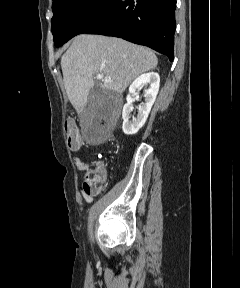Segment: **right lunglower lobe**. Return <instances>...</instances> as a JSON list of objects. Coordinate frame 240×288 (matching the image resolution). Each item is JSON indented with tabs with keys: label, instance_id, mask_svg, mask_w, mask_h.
Masks as SVG:
<instances>
[{
	"label": "right lung lower lobe",
	"instance_id": "1",
	"mask_svg": "<svg viewBox=\"0 0 240 288\" xmlns=\"http://www.w3.org/2000/svg\"><path fill=\"white\" fill-rule=\"evenodd\" d=\"M176 0H112L80 34H101L148 46L174 59Z\"/></svg>",
	"mask_w": 240,
	"mask_h": 288
}]
</instances>
